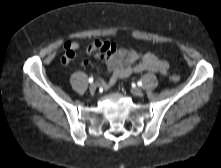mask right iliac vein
Masks as SVG:
<instances>
[{
  "label": "right iliac vein",
  "mask_w": 221,
  "mask_h": 168,
  "mask_svg": "<svg viewBox=\"0 0 221 168\" xmlns=\"http://www.w3.org/2000/svg\"><path fill=\"white\" fill-rule=\"evenodd\" d=\"M96 88H97L96 84L93 83L89 86V91L91 93H94L96 91Z\"/></svg>",
  "instance_id": "obj_1"
}]
</instances>
